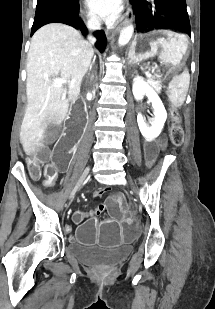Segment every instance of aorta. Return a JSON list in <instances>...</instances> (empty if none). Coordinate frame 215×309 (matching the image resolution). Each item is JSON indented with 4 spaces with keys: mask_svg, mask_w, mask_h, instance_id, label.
<instances>
[{
    "mask_svg": "<svg viewBox=\"0 0 215 309\" xmlns=\"http://www.w3.org/2000/svg\"><path fill=\"white\" fill-rule=\"evenodd\" d=\"M133 32H134L133 24H128V26H124V28H122L120 32V36L118 38V44H120V46H123V44H127Z\"/></svg>",
    "mask_w": 215,
    "mask_h": 309,
    "instance_id": "obj_1",
    "label": "aorta"
}]
</instances>
